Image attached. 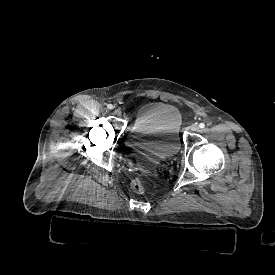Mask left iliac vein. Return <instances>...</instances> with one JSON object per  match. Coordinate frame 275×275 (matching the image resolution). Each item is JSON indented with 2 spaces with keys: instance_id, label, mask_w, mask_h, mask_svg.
<instances>
[{
  "instance_id": "1",
  "label": "left iliac vein",
  "mask_w": 275,
  "mask_h": 275,
  "mask_svg": "<svg viewBox=\"0 0 275 275\" xmlns=\"http://www.w3.org/2000/svg\"><path fill=\"white\" fill-rule=\"evenodd\" d=\"M190 130H191L192 132H196V131L199 130V127H198L197 124H192V125L190 126Z\"/></svg>"
}]
</instances>
